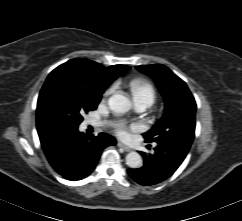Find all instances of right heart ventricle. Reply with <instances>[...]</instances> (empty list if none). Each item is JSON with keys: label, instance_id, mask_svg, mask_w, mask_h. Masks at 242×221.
Wrapping results in <instances>:
<instances>
[{"label": "right heart ventricle", "instance_id": "obj_1", "mask_svg": "<svg viewBox=\"0 0 242 221\" xmlns=\"http://www.w3.org/2000/svg\"><path fill=\"white\" fill-rule=\"evenodd\" d=\"M130 89L134 100H147L152 104L156 93L153 86L144 79H135L130 83Z\"/></svg>", "mask_w": 242, "mask_h": 221}]
</instances>
